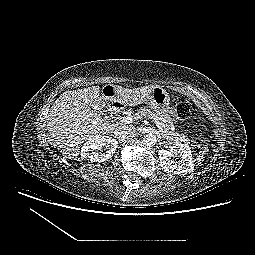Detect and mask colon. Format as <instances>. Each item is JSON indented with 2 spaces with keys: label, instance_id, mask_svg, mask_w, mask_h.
I'll return each mask as SVG.
<instances>
[{
  "label": "colon",
  "instance_id": "1",
  "mask_svg": "<svg viewBox=\"0 0 255 255\" xmlns=\"http://www.w3.org/2000/svg\"><path fill=\"white\" fill-rule=\"evenodd\" d=\"M175 111H176L177 116L182 119L187 118L191 112L189 105H187L185 103L178 104L175 108Z\"/></svg>",
  "mask_w": 255,
  "mask_h": 255
}]
</instances>
